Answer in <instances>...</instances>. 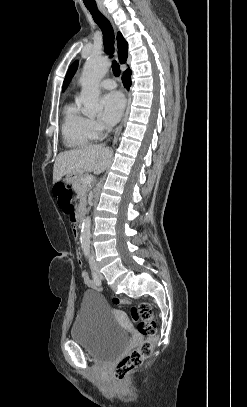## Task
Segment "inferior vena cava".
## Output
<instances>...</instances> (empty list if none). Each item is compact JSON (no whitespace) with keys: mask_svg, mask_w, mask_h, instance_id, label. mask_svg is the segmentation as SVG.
I'll return each instance as SVG.
<instances>
[{"mask_svg":"<svg viewBox=\"0 0 247 407\" xmlns=\"http://www.w3.org/2000/svg\"><path fill=\"white\" fill-rule=\"evenodd\" d=\"M103 146H104V144H103ZM89 259H90V262H92V263L94 262V258L92 256H90Z\"/></svg>","mask_w":247,"mask_h":407,"instance_id":"inferior-vena-cava-1","label":"inferior vena cava"}]
</instances>
